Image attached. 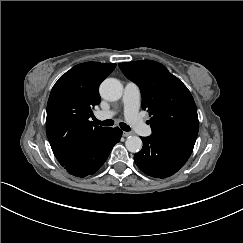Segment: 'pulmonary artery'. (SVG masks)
Segmentation results:
<instances>
[{"label": "pulmonary artery", "instance_id": "e3ab8cb5", "mask_svg": "<svg viewBox=\"0 0 243 243\" xmlns=\"http://www.w3.org/2000/svg\"><path fill=\"white\" fill-rule=\"evenodd\" d=\"M141 91L137 83L127 81L124 85L120 109L123 110L125 120L134 124L141 120L140 114ZM114 110L97 111L94 113L98 120H107L115 115ZM152 134V128L148 126L147 135Z\"/></svg>", "mask_w": 243, "mask_h": 243}]
</instances>
